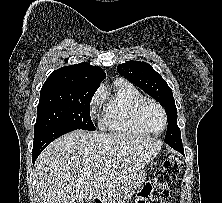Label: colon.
<instances>
[{
    "mask_svg": "<svg viewBox=\"0 0 222 203\" xmlns=\"http://www.w3.org/2000/svg\"><path fill=\"white\" fill-rule=\"evenodd\" d=\"M181 162L173 157H167L155 174L152 182L146 184L140 191L137 203H166L169 197V186L181 172Z\"/></svg>",
    "mask_w": 222,
    "mask_h": 203,
    "instance_id": "obj_1",
    "label": "colon"
}]
</instances>
